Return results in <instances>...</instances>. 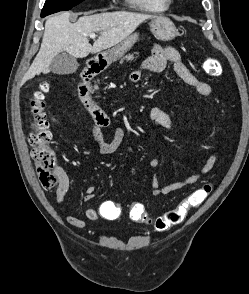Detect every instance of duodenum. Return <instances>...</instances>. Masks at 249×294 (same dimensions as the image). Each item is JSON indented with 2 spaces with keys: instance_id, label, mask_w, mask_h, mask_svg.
Segmentation results:
<instances>
[{
  "instance_id": "obj_1",
  "label": "duodenum",
  "mask_w": 249,
  "mask_h": 294,
  "mask_svg": "<svg viewBox=\"0 0 249 294\" xmlns=\"http://www.w3.org/2000/svg\"><path fill=\"white\" fill-rule=\"evenodd\" d=\"M103 69V66L99 63H90L84 71L81 73L79 80V95L85 104L89 114L94 119H102L110 121L107 114L102 110L96 98L93 95L92 80L98 75Z\"/></svg>"
}]
</instances>
